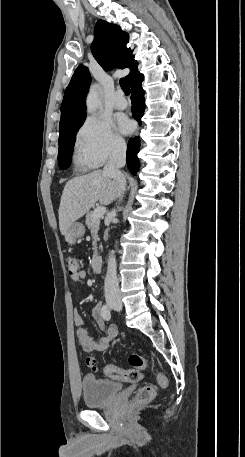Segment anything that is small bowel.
<instances>
[{
	"instance_id": "c3829d8e",
	"label": "small bowel",
	"mask_w": 245,
	"mask_h": 457,
	"mask_svg": "<svg viewBox=\"0 0 245 457\" xmlns=\"http://www.w3.org/2000/svg\"><path fill=\"white\" fill-rule=\"evenodd\" d=\"M87 276V272L84 270L77 271L75 274L70 275L71 279L75 282H81ZM104 305L99 302L95 305L92 317L95 323L105 331V335L100 340H95L83 327L84 319L81 314L75 310L74 311V323L78 327L76 331V337L81 348L86 352H100L106 350L111 342L116 338L118 331L114 325L105 327V319L103 318L102 311Z\"/></svg>"
}]
</instances>
